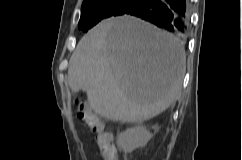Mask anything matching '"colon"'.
Here are the masks:
<instances>
[{
    "label": "colon",
    "mask_w": 242,
    "mask_h": 160,
    "mask_svg": "<svg viewBox=\"0 0 242 160\" xmlns=\"http://www.w3.org/2000/svg\"><path fill=\"white\" fill-rule=\"evenodd\" d=\"M77 115L94 134V141L102 158L104 160H115L112 135L106 130L104 122L91 111L87 104L81 101H77Z\"/></svg>",
    "instance_id": "1"
}]
</instances>
